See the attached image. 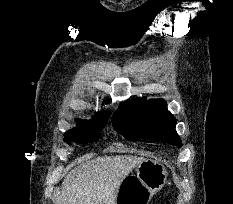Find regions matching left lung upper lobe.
<instances>
[{
  "label": "left lung upper lobe",
  "mask_w": 233,
  "mask_h": 204,
  "mask_svg": "<svg viewBox=\"0 0 233 204\" xmlns=\"http://www.w3.org/2000/svg\"><path fill=\"white\" fill-rule=\"evenodd\" d=\"M112 124L125 138L137 141L141 138L162 140L180 147L176 133V119L167 110L163 99L137 98L122 104L114 113Z\"/></svg>",
  "instance_id": "left-lung-upper-lobe-1"
}]
</instances>
